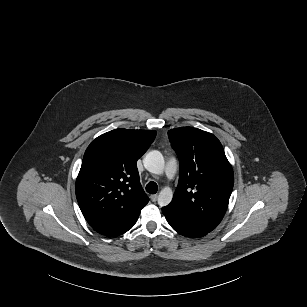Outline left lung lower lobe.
Instances as JSON below:
<instances>
[{
    "label": "left lung lower lobe",
    "instance_id": "0a47b994",
    "mask_svg": "<svg viewBox=\"0 0 307 307\" xmlns=\"http://www.w3.org/2000/svg\"><path fill=\"white\" fill-rule=\"evenodd\" d=\"M162 212L165 215L170 226L183 236L198 238L210 232L205 228L199 227L189 222L188 220L180 216L177 213L176 209L170 206L163 207Z\"/></svg>",
    "mask_w": 307,
    "mask_h": 307
}]
</instances>
